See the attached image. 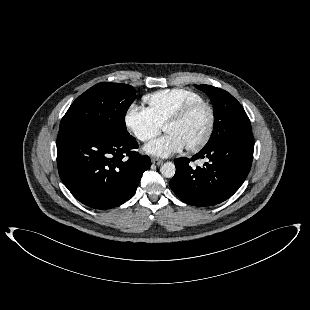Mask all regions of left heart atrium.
Wrapping results in <instances>:
<instances>
[{
	"instance_id": "left-heart-atrium-1",
	"label": "left heart atrium",
	"mask_w": 310,
	"mask_h": 310,
	"mask_svg": "<svg viewBox=\"0 0 310 310\" xmlns=\"http://www.w3.org/2000/svg\"><path fill=\"white\" fill-rule=\"evenodd\" d=\"M184 148L182 141L174 134H166L149 142L144 151L150 155L167 158Z\"/></svg>"
}]
</instances>
